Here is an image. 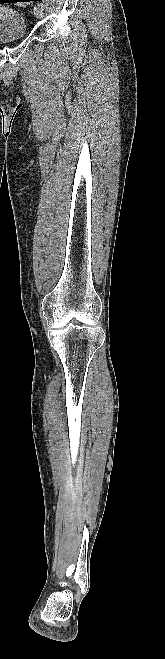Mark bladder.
Masks as SVG:
<instances>
[{"instance_id":"1","label":"bladder","mask_w":165,"mask_h":659,"mask_svg":"<svg viewBox=\"0 0 165 659\" xmlns=\"http://www.w3.org/2000/svg\"><path fill=\"white\" fill-rule=\"evenodd\" d=\"M26 35L21 17L11 9L0 7V41L19 39Z\"/></svg>"}]
</instances>
